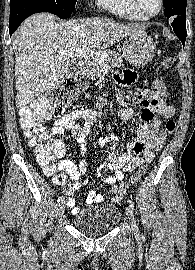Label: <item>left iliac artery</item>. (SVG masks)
<instances>
[{
  "mask_svg": "<svg viewBox=\"0 0 195 270\" xmlns=\"http://www.w3.org/2000/svg\"><path fill=\"white\" fill-rule=\"evenodd\" d=\"M129 204H130V207H131V209H132V211L134 210V202L133 201H129Z\"/></svg>",
  "mask_w": 195,
  "mask_h": 270,
  "instance_id": "left-iliac-artery-1",
  "label": "left iliac artery"
}]
</instances>
